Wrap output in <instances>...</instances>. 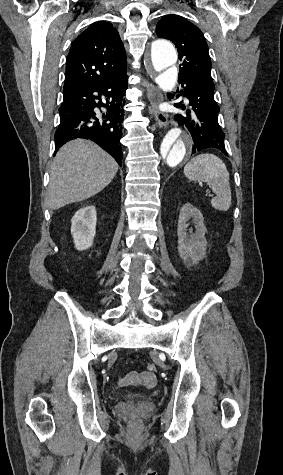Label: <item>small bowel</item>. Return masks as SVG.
<instances>
[{"mask_svg": "<svg viewBox=\"0 0 283 475\" xmlns=\"http://www.w3.org/2000/svg\"><path fill=\"white\" fill-rule=\"evenodd\" d=\"M133 377L136 378V381L146 386H152L156 382L155 376L147 377L145 373L141 371H138L134 374L129 373L128 371H123L121 373V377L119 378V384L121 386H128L133 382V380H130L129 378H133Z\"/></svg>", "mask_w": 283, "mask_h": 475, "instance_id": "small-bowel-1", "label": "small bowel"}]
</instances>
